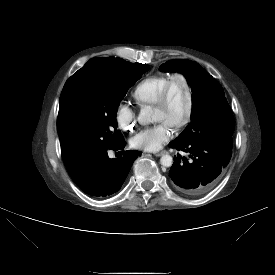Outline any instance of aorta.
Returning a JSON list of instances; mask_svg holds the SVG:
<instances>
[{
	"label": "aorta",
	"mask_w": 275,
	"mask_h": 275,
	"mask_svg": "<svg viewBox=\"0 0 275 275\" xmlns=\"http://www.w3.org/2000/svg\"><path fill=\"white\" fill-rule=\"evenodd\" d=\"M153 120V109L150 106L142 108L138 115V122L141 125H147ZM160 163L164 167H170L173 164V158L169 154H165L160 158Z\"/></svg>",
	"instance_id": "aorta-1"
}]
</instances>
